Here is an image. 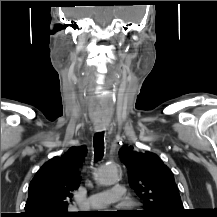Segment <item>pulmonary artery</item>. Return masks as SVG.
Masks as SVG:
<instances>
[{
    "instance_id": "1",
    "label": "pulmonary artery",
    "mask_w": 217,
    "mask_h": 217,
    "mask_svg": "<svg viewBox=\"0 0 217 217\" xmlns=\"http://www.w3.org/2000/svg\"><path fill=\"white\" fill-rule=\"evenodd\" d=\"M125 197V187L115 185L109 191L91 194L87 197L86 203L91 209H101Z\"/></svg>"
}]
</instances>
